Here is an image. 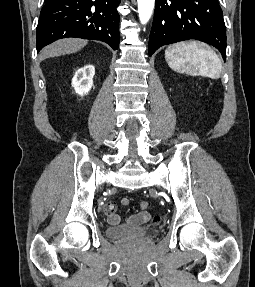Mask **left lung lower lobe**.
<instances>
[{
  "label": "left lung lower lobe",
  "mask_w": 255,
  "mask_h": 287,
  "mask_svg": "<svg viewBox=\"0 0 255 287\" xmlns=\"http://www.w3.org/2000/svg\"><path fill=\"white\" fill-rule=\"evenodd\" d=\"M215 46L226 61V27L218 0H156L148 53L183 40Z\"/></svg>",
  "instance_id": "0a47b994"
}]
</instances>
